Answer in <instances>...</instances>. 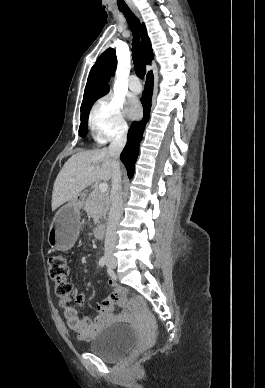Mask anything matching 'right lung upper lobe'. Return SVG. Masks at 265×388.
<instances>
[{"instance_id":"cb5924a9","label":"right lung upper lobe","mask_w":265,"mask_h":388,"mask_svg":"<svg viewBox=\"0 0 265 388\" xmlns=\"http://www.w3.org/2000/svg\"><path fill=\"white\" fill-rule=\"evenodd\" d=\"M142 43L145 50L146 62L147 64H151L154 54L152 52L150 39L144 26L142 32ZM116 66L117 57L115 50L113 48L106 49L97 59L90 71L82 104L95 96L109 92V85H107V82L116 69Z\"/></svg>"}]
</instances>
